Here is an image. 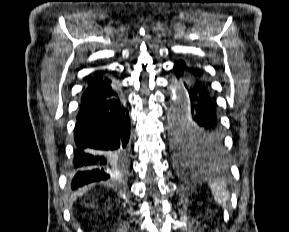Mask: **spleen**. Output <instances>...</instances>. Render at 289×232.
<instances>
[{
	"instance_id": "1",
	"label": "spleen",
	"mask_w": 289,
	"mask_h": 232,
	"mask_svg": "<svg viewBox=\"0 0 289 232\" xmlns=\"http://www.w3.org/2000/svg\"><path fill=\"white\" fill-rule=\"evenodd\" d=\"M210 188H211V191L214 195V198L216 200V202L218 204H221V205H225L226 202L229 201V192L228 190L226 189V183L221 181V180H217L213 183H210Z\"/></svg>"
}]
</instances>
